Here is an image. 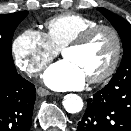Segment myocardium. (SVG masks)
I'll return each mask as SVG.
<instances>
[{
	"label": "myocardium",
	"instance_id": "myocardium-1",
	"mask_svg": "<svg viewBox=\"0 0 131 131\" xmlns=\"http://www.w3.org/2000/svg\"><path fill=\"white\" fill-rule=\"evenodd\" d=\"M100 31H108L113 36L115 44L114 54L110 64L101 74L87 79L91 84H98L108 80L117 70L123 51V43L119 31L111 25L98 24L81 32L75 39L70 41L62 49V54H64V52L67 50L81 48L85 46L89 40Z\"/></svg>",
	"mask_w": 131,
	"mask_h": 131
}]
</instances>
